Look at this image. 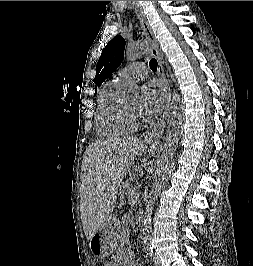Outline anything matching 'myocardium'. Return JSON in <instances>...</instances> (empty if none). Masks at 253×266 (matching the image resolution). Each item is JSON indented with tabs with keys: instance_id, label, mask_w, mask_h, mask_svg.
<instances>
[{
	"instance_id": "1",
	"label": "myocardium",
	"mask_w": 253,
	"mask_h": 266,
	"mask_svg": "<svg viewBox=\"0 0 253 266\" xmlns=\"http://www.w3.org/2000/svg\"><path fill=\"white\" fill-rule=\"evenodd\" d=\"M119 113L122 120L132 129L137 128L141 123V118L132 113L127 104V96H123L120 106H119Z\"/></svg>"
}]
</instances>
